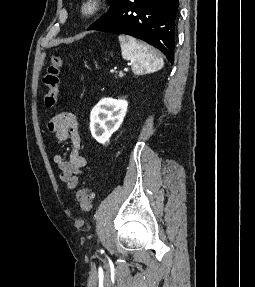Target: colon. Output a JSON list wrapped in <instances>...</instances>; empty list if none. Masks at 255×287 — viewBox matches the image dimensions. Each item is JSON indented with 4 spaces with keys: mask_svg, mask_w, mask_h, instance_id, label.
<instances>
[{
    "mask_svg": "<svg viewBox=\"0 0 255 287\" xmlns=\"http://www.w3.org/2000/svg\"><path fill=\"white\" fill-rule=\"evenodd\" d=\"M63 65V58L59 55H53L43 76V84L47 88L43 99L47 108H53L57 102L60 85V73ZM76 197L82 210L89 212L92 207L93 199L90 190L87 187H81L77 191Z\"/></svg>",
    "mask_w": 255,
    "mask_h": 287,
    "instance_id": "obj_1",
    "label": "colon"
}]
</instances>
